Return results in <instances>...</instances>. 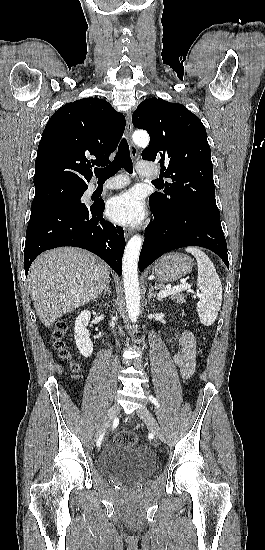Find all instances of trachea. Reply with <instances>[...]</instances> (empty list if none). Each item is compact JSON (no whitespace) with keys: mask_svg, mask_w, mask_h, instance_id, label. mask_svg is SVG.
Here are the masks:
<instances>
[{"mask_svg":"<svg viewBox=\"0 0 265 550\" xmlns=\"http://www.w3.org/2000/svg\"><path fill=\"white\" fill-rule=\"evenodd\" d=\"M121 168H124L128 173H133L132 160L130 158L129 145L125 138L119 144L118 152L115 159L105 168H96L94 173L99 180H106L115 175ZM158 181H154L156 183Z\"/></svg>","mask_w":265,"mask_h":550,"instance_id":"trachea-1","label":"trachea"}]
</instances>
